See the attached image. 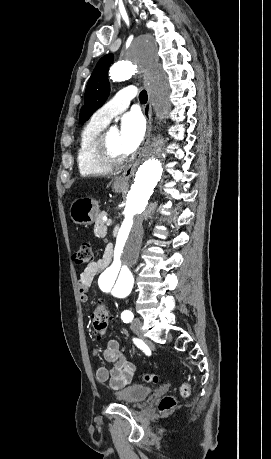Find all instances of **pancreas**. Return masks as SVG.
Here are the masks:
<instances>
[{"mask_svg":"<svg viewBox=\"0 0 271 459\" xmlns=\"http://www.w3.org/2000/svg\"><path fill=\"white\" fill-rule=\"evenodd\" d=\"M107 219L97 218V222L95 224V236L98 239H103L105 237V233L107 231Z\"/></svg>","mask_w":271,"mask_h":459,"instance_id":"cf45deb5","label":"pancreas"}]
</instances>
